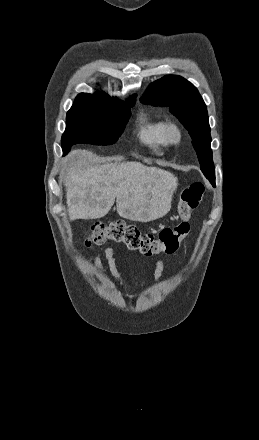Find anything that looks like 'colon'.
<instances>
[{"label":"colon","instance_id":"5ec220e1","mask_svg":"<svg viewBox=\"0 0 259 440\" xmlns=\"http://www.w3.org/2000/svg\"><path fill=\"white\" fill-rule=\"evenodd\" d=\"M203 194L202 183L186 186L180 194L177 206L179 221L173 227L161 230L158 235L141 232L137 227L123 221L108 224L98 222L92 226L85 244L101 245L110 240L123 243L145 256L173 254L189 234L191 213L202 200Z\"/></svg>","mask_w":259,"mask_h":440}]
</instances>
